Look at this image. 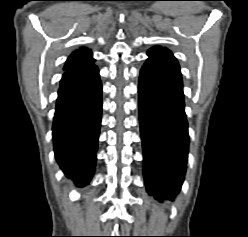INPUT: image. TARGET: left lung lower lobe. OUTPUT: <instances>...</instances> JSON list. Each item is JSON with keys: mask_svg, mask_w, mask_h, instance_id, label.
Masks as SVG:
<instances>
[{"mask_svg": "<svg viewBox=\"0 0 248 237\" xmlns=\"http://www.w3.org/2000/svg\"><path fill=\"white\" fill-rule=\"evenodd\" d=\"M180 75L147 60L140 72L139 115L146 189L172 200L186 171L189 136Z\"/></svg>", "mask_w": 248, "mask_h": 237, "instance_id": "left-lung-lower-lobe-1", "label": "left lung lower lobe"}]
</instances>
